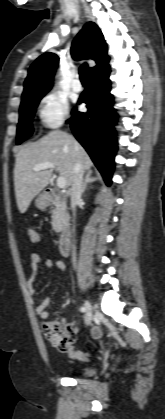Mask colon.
Returning <instances> with one entry per match:
<instances>
[{
    "mask_svg": "<svg viewBox=\"0 0 165 419\" xmlns=\"http://www.w3.org/2000/svg\"><path fill=\"white\" fill-rule=\"evenodd\" d=\"M28 235L32 242H39L40 237L34 228L28 229ZM42 332L47 339L55 344H65L71 339V328L56 321H48L42 324Z\"/></svg>",
    "mask_w": 165,
    "mask_h": 419,
    "instance_id": "obj_1",
    "label": "colon"
}]
</instances>
